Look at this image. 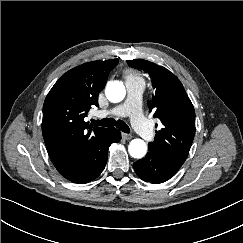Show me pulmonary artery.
<instances>
[{
  "label": "pulmonary artery",
  "instance_id": "pulmonary-artery-1",
  "mask_svg": "<svg viewBox=\"0 0 243 243\" xmlns=\"http://www.w3.org/2000/svg\"><path fill=\"white\" fill-rule=\"evenodd\" d=\"M126 89L127 98L123 104L111 110L98 111L95 115L100 118L108 115L129 116L133 127L140 136L144 140L150 141L153 139L154 133L141 112V96L144 83L142 81L128 80L126 81Z\"/></svg>",
  "mask_w": 243,
  "mask_h": 243
}]
</instances>
